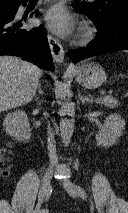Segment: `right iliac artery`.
Segmentation results:
<instances>
[{"label":"right iliac artery","mask_w":128,"mask_h":213,"mask_svg":"<svg viewBox=\"0 0 128 213\" xmlns=\"http://www.w3.org/2000/svg\"><path fill=\"white\" fill-rule=\"evenodd\" d=\"M51 191V190H50ZM50 191H49V194H50ZM41 200V198L39 197V201ZM39 203V202H38ZM42 213H46V210H43Z\"/></svg>","instance_id":"obj_1"}]
</instances>
